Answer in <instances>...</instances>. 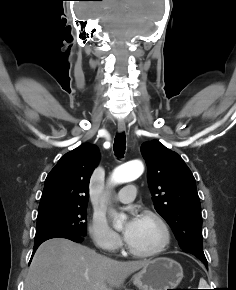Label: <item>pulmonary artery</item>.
I'll return each instance as SVG.
<instances>
[{"instance_id": "1", "label": "pulmonary artery", "mask_w": 236, "mask_h": 290, "mask_svg": "<svg viewBox=\"0 0 236 290\" xmlns=\"http://www.w3.org/2000/svg\"><path fill=\"white\" fill-rule=\"evenodd\" d=\"M137 193V189L135 185L129 184L124 186L115 196V200L121 203H129L131 202Z\"/></svg>"}]
</instances>
